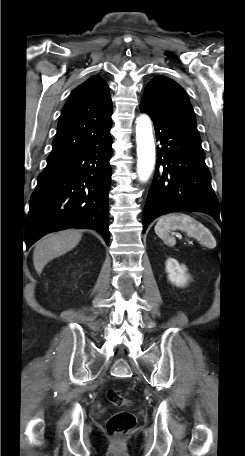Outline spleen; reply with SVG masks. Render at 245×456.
Returning <instances> with one entry per match:
<instances>
[{
    "instance_id": "spleen-1",
    "label": "spleen",
    "mask_w": 245,
    "mask_h": 456,
    "mask_svg": "<svg viewBox=\"0 0 245 456\" xmlns=\"http://www.w3.org/2000/svg\"><path fill=\"white\" fill-rule=\"evenodd\" d=\"M155 233L169 246H174L176 240L170 235L171 230L186 232L189 237L198 239L201 244L213 247L215 239L209 229L194 218L183 213H173L162 216L155 225Z\"/></svg>"
}]
</instances>
